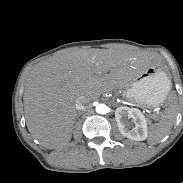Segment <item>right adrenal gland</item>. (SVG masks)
I'll use <instances>...</instances> for the list:
<instances>
[{"mask_svg": "<svg viewBox=\"0 0 183 183\" xmlns=\"http://www.w3.org/2000/svg\"><path fill=\"white\" fill-rule=\"evenodd\" d=\"M82 114V112H78L77 117H79Z\"/></svg>", "mask_w": 183, "mask_h": 183, "instance_id": "1", "label": "right adrenal gland"}]
</instances>
